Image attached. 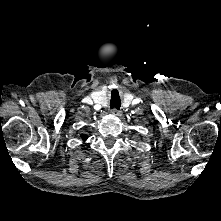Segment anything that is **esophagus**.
<instances>
[{"instance_id":"obj_1","label":"esophagus","mask_w":221,"mask_h":221,"mask_svg":"<svg viewBox=\"0 0 221 221\" xmlns=\"http://www.w3.org/2000/svg\"><path fill=\"white\" fill-rule=\"evenodd\" d=\"M112 114L115 116H121L122 115V110L120 109H113Z\"/></svg>"}]
</instances>
